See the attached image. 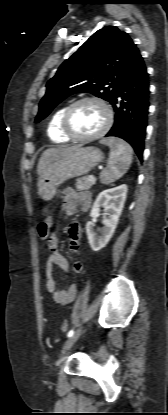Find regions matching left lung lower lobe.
<instances>
[{"instance_id": "1", "label": "left lung lower lobe", "mask_w": 168, "mask_h": 415, "mask_svg": "<svg viewBox=\"0 0 168 415\" xmlns=\"http://www.w3.org/2000/svg\"><path fill=\"white\" fill-rule=\"evenodd\" d=\"M111 105L115 111V121L106 136L124 139L142 160L149 108V82L141 55L123 78Z\"/></svg>"}]
</instances>
